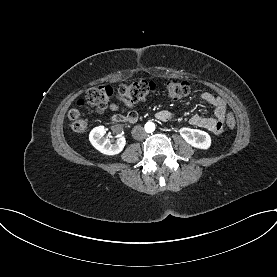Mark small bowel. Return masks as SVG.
Returning a JSON list of instances; mask_svg holds the SVG:
<instances>
[{"label": "small bowel", "instance_id": "obj_1", "mask_svg": "<svg viewBox=\"0 0 277 277\" xmlns=\"http://www.w3.org/2000/svg\"><path fill=\"white\" fill-rule=\"evenodd\" d=\"M202 100L214 108L215 117H203L198 114H193L189 122L191 125L204 128L214 134H220L224 128V117L227 112L226 102L212 93L204 92L201 96ZM127 107H132V102L120 97ZM109 109L114 113L111 116L113 122H135L137 120V113L133 110L124 114L125 110L122 106L111 103ZM160 121H168L172 118V113L168 110L159 111L156 114ZM227 123V122H226Z\"/></svg>", "mask_w": 277, "mask_h": 277}]
</instances>
